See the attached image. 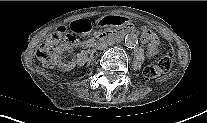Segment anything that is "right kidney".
Returning <instances> with one entry per match:
<instances>
[{"label": "right kidney", "mask_w": 207, "mask_h": 123, "mask_svg": "<svg viewBox=\"0 0 207 123\" xmlns=\"http://www.w3.org/2000/svg\"><path fill=\"white\" fill-rule=\"evenodd\" d=\"M66 46L64 45H59L55 48L54 50V61L56 63V65L64 70V71H70L72 70L74 67H75V62H68V63H63L61 61V56H62V53L66 50Z\"/></svg>", "instance_id": "obj_1"}]
</instances>
